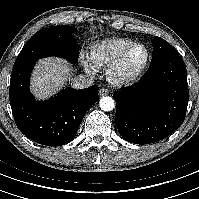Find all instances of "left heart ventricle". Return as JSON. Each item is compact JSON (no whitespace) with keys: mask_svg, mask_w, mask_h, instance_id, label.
I'll return each instance as SVG.
<instances>
[{"mask_svg":"<svg viewBox=\"0 0 199 199\" xmlns=\"http://www.w3.org/2000/svg\"><path fill=\"white\" fill-rule=\"evenodd\" d=\"M144 49L141 47L135 48L127 56L123 68V75H131L138 70L144 59Z\"/></svg>","mask_w":199,"mask_h":199,"instance_id":"1","label":"left heart ventricle"}]
</instances>
